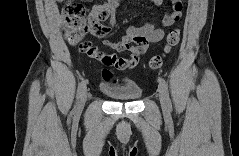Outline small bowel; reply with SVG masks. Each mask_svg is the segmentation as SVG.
<instances>
[{"mask_svg": "<svg viewBox=\"0 0 239 156\" xmlns=\"http://www.w3.org/2000/svg\"><path fill=\"white\" fill-rule=\"evenodd\" d=\"M157 6L161 5L162 0H154ZM120 5L119 0H107L95 5L90 13L91 31L94 35L104 38V44L114 51L128 52V56L117 58L112 53L99 52L94 47L93 53H86L90 57L99 59L107 66H115L119 70H129L133 68L139 61V58L144 54L149 45L161 41L165 35L164 28L172 26L181 18L183 4L181 1H171V11L167 13L162 21V27H155L153 24L146 23L141 26H129L126 30V35L119 42H111L105 37L110 30L104 27L99 22V16L103 15V20H107L109 24L116 23V10Z\"/></svg>", "mask_w": 239, "mask_h": 156, "instance_id": "small-bowel-1", "label": "small bowel"}]
</instances>
